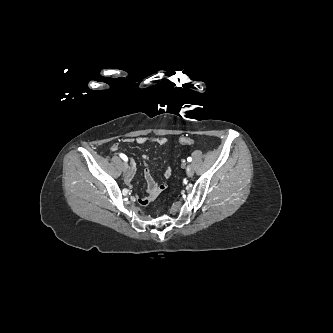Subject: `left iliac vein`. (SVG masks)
<instances>
[{"label": "left iliac vein", "instance_id": "1", "mask_svg": "<svg viewBox=\"0 0 333 333\" xmlns=\"http://www.w3.org/2000/svg\"><path fill=\"white\" fill-rule=\"evenodd\" d=\"M186 173H187V175H188L189 177H192V176H193V174H194V170H193V168H192L191 165H188V166L186 167Z\"/></svg>", "mask_w": 333, "mask_h": 333}]
</instances>
